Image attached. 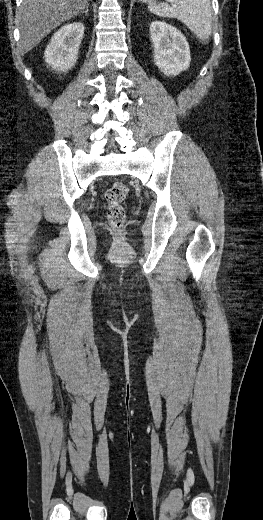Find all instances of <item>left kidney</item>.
<instances>
[{"instance_id": "1", "label": "left kidney", "mask_w": 263, "mask_h": 520, "mask_svg": "<svg viewBox=\"0 0 263 520\" xmlns=\"http://www.w3.org/2000/svg\"><path fill=\"white\" fill-rule=\"evenodd\" d=\"M154 62L167 76L179 75L190 66V49L184 35L175 27L154 21L150 25Z\"/></svg>"}]
</instances>
